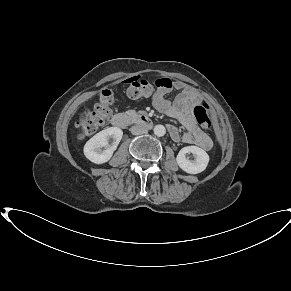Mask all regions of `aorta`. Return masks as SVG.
I'll return each instance as SVG.
<instances>
[{
  "label": "aorta",
  "mask_w": 291,
  "mask_h": 291,
  "mask_svg": "<svg viewBox=\"0 0 291 291\" xmlns=\"http://www.w3.org/2000/svg\"><path fill=\"white\" fill-rule=\"evenodd\" d=\"M166 133V129L163 125H156L154 127V134L158 137L164 136Z\"/></svg>",
  "instance_id": "aorta-1"
}]
</instances>
